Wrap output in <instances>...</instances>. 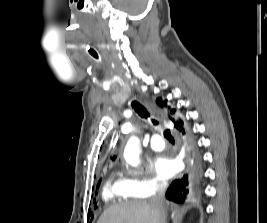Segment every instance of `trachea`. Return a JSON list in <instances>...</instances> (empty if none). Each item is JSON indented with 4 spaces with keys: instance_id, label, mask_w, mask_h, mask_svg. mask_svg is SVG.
I'll list each match as a JSON object with an SVG mask.
<instances>
[{
    "instance_id": "obj_1",
    "label": "trachea",
    "mask_w": 267,
    "mask_h": 223,
    "mask_svg": "<svg viewBox=\"0 0 267 223\" xmlns=\"http://www.w3.org/2000/svg\"><path fill=\"white\" fill-rule=\"evenodd\" d=\"M132 107L134 108V110L138 113V115L142 118H150V114L147 111V109L142 106L139 102L137 101H133L132 102ZM151 122L154 126H158L159 122L156 119L151 118ZM164 137L170 141L171 143H174V138L171 135L170 130H165L164 131Z\"/></svg>"
}]
</instances>
